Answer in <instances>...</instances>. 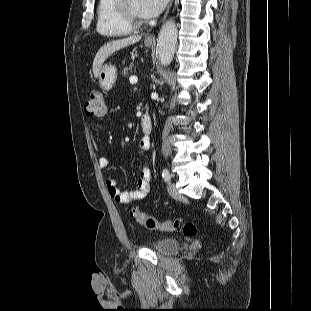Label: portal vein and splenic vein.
Wrapping results in <instances>:
<instances>
[{
  "label": "portal vein and splenic vein",
  "instance_id": "1",
  "mask_svg": "<svg viewBox=\"0 0 311 311\" xmlns=\"http://www.w3.org/2000/svg\"><path fill=\"white\" fill-rule=\"evenodd\" d=\"M129 81L131 84H136L138 82V78L136 76H131Z\"/></svg>",
  "mask_w": 311,
  "mask_h": 311
}]
</instances>
